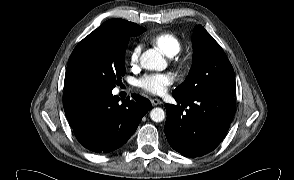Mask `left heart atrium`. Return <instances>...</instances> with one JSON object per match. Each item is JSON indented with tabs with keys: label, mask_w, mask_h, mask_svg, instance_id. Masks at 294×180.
Listing matches in <instances>:
<instances>
[{
	"label": "left heart atrium",
	"mask_w": 294,
	"mask_h": 180,
	"mask_svg": "<svg viewBox=\"0 0 294 180\" xmlns=\"http://www.w3.org/2000/svg\"><path fill=\"white\" fill-rule=\"evenodd\" d=\"M173 82V77L168 73L148 74L137 80V86L143 91L160 95L163 94L167 87Z\"/></svg>",
	"instance_id": "left-heart-atrium-1"
}]
</instances>
